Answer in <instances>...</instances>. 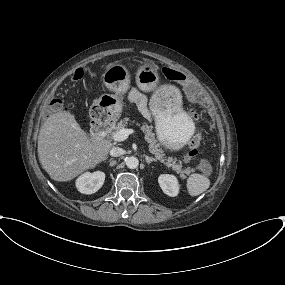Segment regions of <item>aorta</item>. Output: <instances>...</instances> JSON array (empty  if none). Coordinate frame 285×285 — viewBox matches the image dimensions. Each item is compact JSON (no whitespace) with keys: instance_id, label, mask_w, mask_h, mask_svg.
I'll list each match as a JSON object with an SVG mask.
<instances>
[{"instance_id":"obj_1","label":"aorta","mask_w":285,"mask_h":285,"mask_svg":"<svg viewBox=\"0 0 285 285\" xmlns=\"http://www.w3.org/2000/svg\"><path fill=\"white\" fill-rule=\"evenodd\" d=\"M126 165L129 169H135L139 165V160L134 156H130L126 158Z\"/></svg>"}]
</instances>
